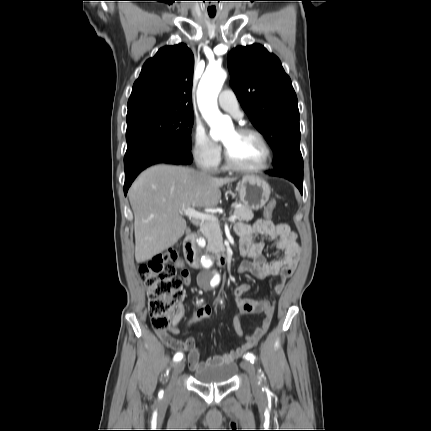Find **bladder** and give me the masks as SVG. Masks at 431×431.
<instances>
[{"label": "bladder", "instance_id": "1", "mask_svg": "<svg viewBox=\"0 0 431 431\" xmlns=\"http://www.w3.org/2000/svg\"><path fill=\"white\" fill-rule=\"evenodd\" d=\"M239 367L235 362L223 363L194 372L196 381L207 385H220L232 381L238 374Z\"/></svg>", "mask_w": 431, "mask_h": 431}]
</instances>
